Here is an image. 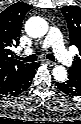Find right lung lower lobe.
<instances>
[{"mask_svg": "<svg viewBox=\"0 0 81 124\" xmlns=\"http://www.w3.org/2000/svg\"><path fill=\"white\" fill-rule=\"evenodd\" d=\"M38 63L29 64L12 81L0 86V94L13 96L24 92L32 83Z\"/></svg>", "mask_w": 81, "mask_h": 124, "instance_id": "1", "label": "right lung lower lobe"}]
</instances>
